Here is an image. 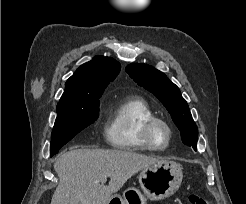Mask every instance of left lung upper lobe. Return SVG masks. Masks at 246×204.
<instances>
[{"mask_svg": "<svg viewBox=\"0 0 246 204\" xmlns=\"http://www.w3.org/2000/svg\"><path fill=\"white\" fill-rule=\"evenodd\" d=\"M125 70L138 85L153 93L163 103L180 130L183 143L196 150L198 128L179 88L152 66L132 63Z\"/></svg>", "mask_w": 246, "mask_h": 204, "instance_id": "1", "label": "left lung upper lobe"}]
</instances>
